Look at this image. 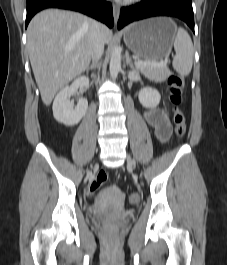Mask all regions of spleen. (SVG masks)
Instances as JSON below:
<instances>
[{"label": "spleen", "instance_id": "1", "mask_svg": "<svg viewBox=\"0 0 227 265\" xmlns=\"http://www.w3.org/2000/svg\"><path fill=\"white\" fill-rule=\"evenodd\" d=\"M176 55L173 59V68L182 76L191 72L193 64L194 48L192 40L183 28H179L174 40Z\"/></svg>", "mask_w": 227, "mask_h": 265}]
</instances>
